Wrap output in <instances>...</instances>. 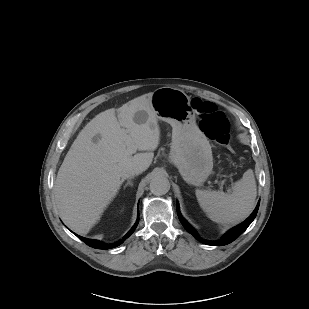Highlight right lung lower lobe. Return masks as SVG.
<instances>
[{
	"label": "right lung lower lobe",
	"mask_w": 309,
	"mask_h": 309,
	"mask_svg": "<svg viewBox=\"0 0 309 309\" xmlns=\"http://www.w3.org/2000/svg\"><path fill=\"white\" fill-rule=\"evenodd\" d=\"M138 222H139V220H137V222L131 228V230L120 241H118L117 243H114V244H104V243L97 241V240L87 239V238H84V237H81V236H78V235H76V236L79 239H81L84 243H86L88 246H91L93 248H96V249H111V248L119 246L126 238H128L133 233V231L135 230Z\"/></svg>",
	"instance_id": "1"
}]
</instances>
